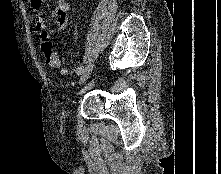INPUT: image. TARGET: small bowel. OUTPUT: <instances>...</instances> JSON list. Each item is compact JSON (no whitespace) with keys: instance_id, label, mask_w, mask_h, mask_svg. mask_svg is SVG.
I'll list each match as a JSON object with an SVG mask.
<instances>
[{"instance_id":"small-bowel-1","label":"small bowel","mask_w":221,"mask_h":174,"mask_svg":"<svg viewBox=\"0 0 221 174\" xmlns=\"http://www.w3.org/2000/svg\"><path fill=\"white\" fill-rule=\"evenodd\" d=\"M45 0H30V7L34 14L35 25L40 32L46 31L51 35L64 31L69 22V2L67 0H56L55 7L50 13L54 20V26L49 27L46 21L41 17L42 3Z\"/></svg>"}]
</instances>
